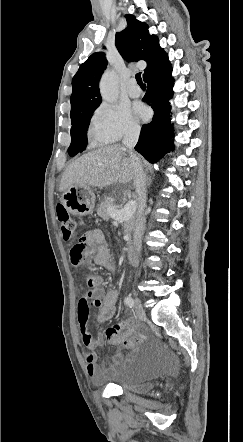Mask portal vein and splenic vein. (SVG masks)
I'll return each mask as SVG.
<instances>
[{
  "label": "portal vein and splenic vein",
  "instance_id": "portal-vein-and-splenic-vein-1",
  "mask_svg": "<svg viewBox=\"0 0 243 442\" xmlns=\"http://www.w3.org/2000/svg\"><path fill=\"white\" fill-rule=\"evenodd\" d=\"M134 211H135L134 202H130L129 205L126 204L125 207L121 210H116L114 208L108 209L111 218L119 222L128 220L133 215Z\"/></svg>",
  "mask_w": 243,
  "mask_h": 442
}]
</instances>
